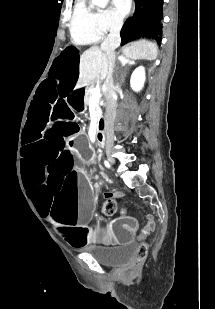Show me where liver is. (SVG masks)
Instances as JSON below:
<instances>
[{
    "mask_svg": "<svg viewBox=\"0 0 215 309\" xmlns=\"http://www.w3.org/2000/svg\"><path fill=\"white\" fill-rule=\"evenodd\" d=\"M123 54L128 58H147V60H154L157 58L158 46L156 42L151 40H135L123 46ZM108 58L106 52H102L99 46H90L88 50H84L80 56L79 64V78L75 88H82V86H89L94 80H104L108 72Z\"/></svg>",
    "mask_w": 215,
    "mask_h": 309,
    "instance_id": "obj_1",
    "label": "liver"
}]
</instances>
